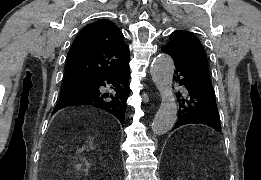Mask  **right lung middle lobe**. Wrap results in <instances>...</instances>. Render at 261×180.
Masks as SVG:
<instances>
[{"label": "right lung middle lobe", "mask_w": 261, "mask_h": 180, "mask_svg": "<svg viewBox=\"0 0 261 180\" xmlns=\"http://www.w3.org/2000/svg\"><path fill=\"white\" fill-rule=\"evenodd\" d=\"M92 85L93 81H64L60 98L81 91H90Z\"/></svg>", "instance_id": "1"}]
</instances>
